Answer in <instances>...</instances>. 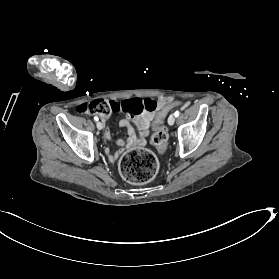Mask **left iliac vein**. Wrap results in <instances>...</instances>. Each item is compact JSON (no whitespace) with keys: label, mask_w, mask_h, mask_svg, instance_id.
Masks as SVG:
<instances>
[{"label":"left iliac vein","mask_w":279,"mask_h":279,"mask_svg":"<svg viewBox=\"0 0 279 279\" xmlns=\"http://www.w3.org/2000/svg\"><path fill=\"white\" fill-rule=\"evenodd\" d=\"M174 122H175V116L173 114H171L168 118V124L173 125Z\"/></svg>","instance_id":"4c4485c4"}]
</instances>
